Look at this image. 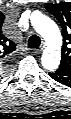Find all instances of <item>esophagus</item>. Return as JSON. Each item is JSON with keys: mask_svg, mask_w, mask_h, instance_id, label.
I'll return each mask as SVG.
<instances>
[{"mask_svg": "<svg viewBox=\"0 0 71 119\" xmlns=\"http://www.w3.org/2000/svg\"><path fill=\"white\" fill-rule=\"evenodd\" d=\"M44 44L42 45L41 49H32V53L38 55L42 52V48H44Z\"/></svg>", "mask_w": 71, "mask_h": 119, "instance_id": "34e87169", "label": "esophagus"}]
</instances>
